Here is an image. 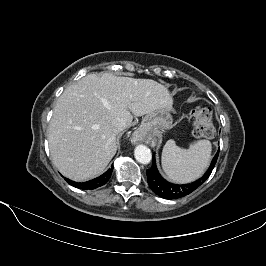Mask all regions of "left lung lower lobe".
<instances>
[{
    "instance_id": "left-lung-lower-lobe-1",
    "label": "left lung lower lobe",
    "mask_w": 266,
    "mask_h": 266,
    "mask_svg": "<svg viewBox=\"0 0 266 266\" xmlns=\"http://www.w3.org/2000/svg\"><path fill=\"white\" fill-rule=\"evenodd\" d=\"M219 155V150L214 156L210 167L206 173L197 181L190 184H173L166 181L159 173L156 163L155 155L153 154V164L150 169L146 170L147 181L151 190L158 196L166 199H178L186 196L196 190L200 185H202L210 176Z\"/></svg>"
}]
</instances>
